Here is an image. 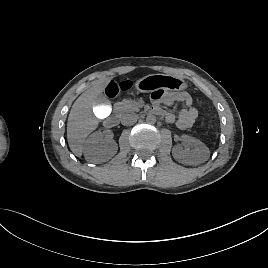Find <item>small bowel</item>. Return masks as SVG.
<instances>
[{
  "instance_id": "c3829d8e",
  "label": "small bowel",
  "mask_w": 268,
  "mask_h": 268,
  "mask_svg": "<svg viewBox=\"0 0 268 268\" xmlns=\"http://www.w3.org/2000/svg\"><path fill=\"white\" fill-rule=\"evenodd\" d=\"M152 99L154 112L163 115L167 122L175 124L182 130L190 128L198 117V111L193 107L192 96L186 91L163 93L162 90H156L152 93ZM177 101L185 105V108L177 116L162 108V105H172Z\"/></svg>"
}]
</instances>
